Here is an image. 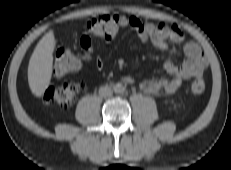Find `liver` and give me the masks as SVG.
<instances>
[{
    "label": "liver",
    "instance_id": "obj_1",
    "mask_svg": "<svg viewBox=\"0 0 231 170\" xmlns=\"http://www.w3.org/2000/svg\"><path fill=\"white\" fill-rule=\"evenodd\" d=\"M55 37L46 33L35 47L28 65V83L32 93L41 97L49 87L52 77Z\"/></svg>",
    "mask_w": 231,
    "mask_h": 170
}]
</instances>
